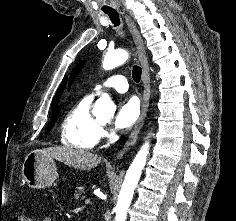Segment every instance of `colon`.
I'll list each match as a JSON object with an SVG mask.
<instances>
[{
    "label": "colon",
    "instance_id": "obj_1",
    "mask_svg": "<svg viewBox=\"0 0 236 221\" xmlns=\"http://www.w3.org/2000/svg\"><path fill=\"white\" fill-rule=\"evenodd\" d=\"M12 221H32V219L25 213H19L13 217Z\"/></svg>",
    "mask_w": 236,
    "mask_h": 221
}]
</instances>
